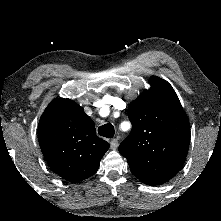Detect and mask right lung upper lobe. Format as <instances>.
Returning <instances> with one entry per match:
<instances>
[{
    "label": "right lung upper lobe",
    "instance_id": "obj_1",
    "mask_svg": "<svg viewBox=\"0 0 221 221\" xmlns=\"http://www.w3.org/2000/svg\"><path fill=\"white\" fill-rule=\"evenodd\" d=\"M38 140L50 168L71 182L94 175L109 148L96 135L94 122L83 108L63 98L52 101L42 114Z\"/></svg>",
    "mask_w": 221,
    "mask_h": 221
}]
</instances>
